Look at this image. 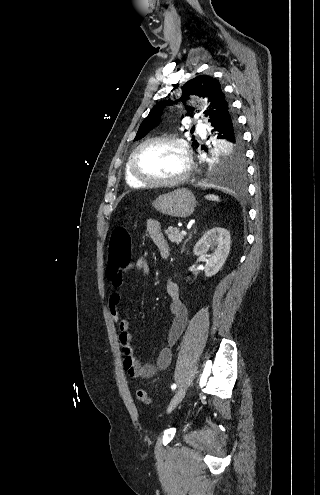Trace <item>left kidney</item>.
I'll return each mask as SVG.
<instances>
[{
	"label": "left kidney",
	"instance_id": "obj_1",
	"mask_svg": "<svg viewBox=\"0 0 320 495\" xmlns=\"http://www.w3.org/2000/svg\"><path fill=\"white\" fill-rule=\"evenodd\" d=\"M211 250L210 254H207ZM193 252L203 256L205 260L204 272L206 277L218 273L230 252V234L224 228H213L207 231L194 246Z\"/></svg>",
	"mask_w": 320,
	"mask_h": 495
}]
</instances>
